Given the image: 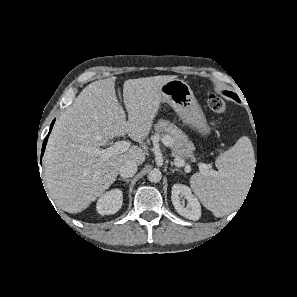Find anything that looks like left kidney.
<instances>
[{
	"mask_svg": "<svg viewBox=\"0 0 297 297\" xmlns=\"http://www.w3.org/2000/svg\"><path fill=\"white\" fill-rule=\"evenodd\" d=\"M171 199L177 213L193 221L199 220L201 206L198 198L192 194L188 186L174 184L171 191ZM185 199L187 200V207L184 204Z\"/></svg>",
	"mask_w": 297,
	"mask_h": 297,
	"instance_id": "obj_1",
	"label": "left kidney"
}]
</instances>
